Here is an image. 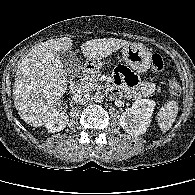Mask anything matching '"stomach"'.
I'll return each instance as SVG.
<instances>
[{"mask_svg": "<svg viewBox=\"0 0 195 195\" xmlns=\"http://www.w3.org/2000/svg\"><path fill=\"white\" fill-rule=\"evenodd\" d=\"M122 57L125 63L137 72H145L151 65V53L149 50L140 43H131L127 47H123ZM91 64L95 68L102 65L100 60H91Z\"/></svg>", "mask_w": 195, "mask_h": 195, "instance_id": "1", "label": "stomach"}]
</instances>
